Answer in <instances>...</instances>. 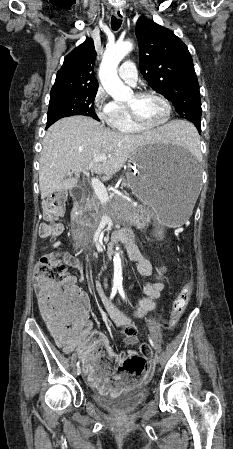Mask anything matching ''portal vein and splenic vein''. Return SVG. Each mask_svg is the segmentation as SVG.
Returning a JSON list of instances; mask_svg holds the SVG:
<instances>
[{
	"mask_svg": "<svg viewBox=\"0 0 233 449\" xmlns=\"http://www.w3.org/2000/svg\"><path fill=\"white\" fill-rule=\"evenodd\" d=\"M107 158H108V156L106 154L98 155L93 158V161L94 162H102V161H105ZM68 174H70V172ZM91 185L95 191V194L97 195V197L99 198V200L102 203H108L110 201V197L107 193V190L101 181H99L96 178H92Z\"/></svg>",
	"mask_w": 233,
	"mask_h": 449,
	"instance_id": "portal-vein-and-splenic-vein-1",
	"label": "portal vein and splenic vein"
}]
</instances>
